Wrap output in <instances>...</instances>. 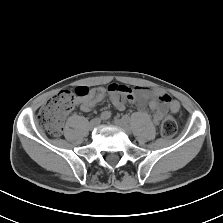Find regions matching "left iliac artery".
<instances>
[{"label": "left iliac artery", "mask_w": 223, "mask_h": 223, "mask_svg": "<svg viewBox=\"0 0 223 223\" xmlns=\"http://www.w3.org/2000/svg\"><path fill=\"white\" fill-rule=\"evenodd\" d=\"M122 119H124L126 122H129L130 121V119H129L128 116H123Z\"/></svg>", "instance_id": "obj_1"}]
</instances>
